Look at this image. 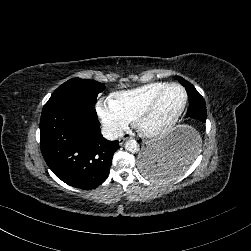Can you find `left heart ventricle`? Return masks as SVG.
<instances>
[{
  "mask_svg": "<svg viewBox=\"0 0 251 251\" xmlns=\"http://www.w3.org/2000/svg\"><path fill=\"white\" fill-rule=\"evenodd\" d=\"M185 103V93L178 88L168 89L151 116L146 120L144 127L152 130L167 125L179 116Z\"/></svg>",
  "mask_w": 251,
  "mask_h": 251,
  "instance_id": "1",
  "label": "left heart ventricle"
}]
</instances>
